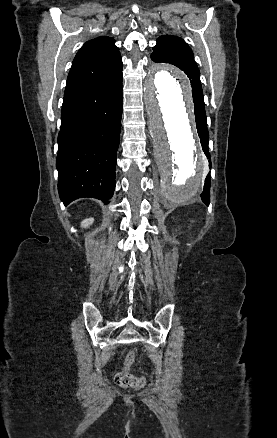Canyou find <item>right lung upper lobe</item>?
Instances as JSON below:
<instances>
[{"label": "right lung upper lobe", "instance_id": "right-lung-upper-lobe-1", "mask_svg": "<svg viewBox=\"0 0 277 438\" xmlns=\"http://www.w3.org/2000/svg\"><path fill=\"white\" fill-rule=\"evenodd\" d=\"M114 43L113 38L101 36L82 46L73 60L65 94L113 77L122 70L119 49Z\"/></svg>", "mask_w": 277, "mask_h": 438}]
</instances>
